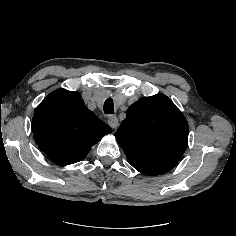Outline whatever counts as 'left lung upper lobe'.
<instances>
[{"instance_id": "5c2ea615", "label": "left lung upper lobe", "mask_w": 236, "mask_h": 236, "mask_svg": "<svg viewBox=\"0 0 236 236\" xmlns=\"http://www.w3.org/2000/svg\"><path fill=\"white\" fill-rule=\"evenodd\" d=\"M187 120L165 95L132 104L115 137L129 163L145 175H160L180 160L188 143Z\"/></svg>"}]
</instances>
